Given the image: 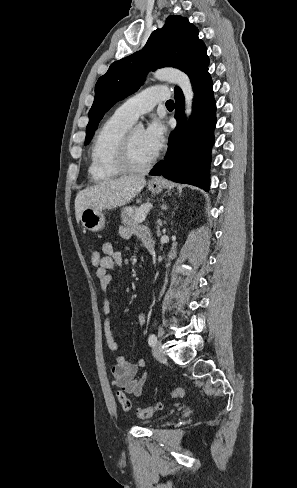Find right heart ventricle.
Returning a JSON list of instances; mask_svg holds the SVG:
<instances>
[{"instance_id":"obj_1","label":"right heart ventricle","mask_w":297,"mask_h":488,"mask_svg":"<svg viewBox=\"0 0 297 488\" xmlns=\"http://www.w3.org/2000/svg\"><path fill=\"white\" fill-rule=\"evenodd\" d=\"M131 124L114 113L98 130L90 151L89 174L92 180L106 182L122 175L116 156L121 139Z\"/></svg>"}]
</instances>
